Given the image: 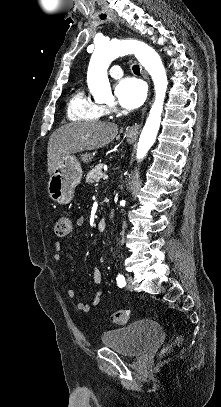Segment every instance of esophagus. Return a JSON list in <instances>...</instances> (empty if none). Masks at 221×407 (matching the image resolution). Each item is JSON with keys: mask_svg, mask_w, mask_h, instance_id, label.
Masks as SVG:
<instances>
[{"mask_svg": "<svg viewBox=\"0 0 221 407\" xmlns=\"http://www.w3.org/2000/svg\"><path fill=\"white\" fill-rule=\"evenodd\" d=\"M108 15L110 16L111 20L115 23H117V18L116 16L112 13V12H108ZM143 75L146 79H148V75L146 73V71L143 70ZM150 95V92H149ZM145 111V109H144ZM141 128L140 124H134L132 125L128 130H127V136L129 137H134L139 133V130Z\"/></svg>", "mask_w": 221, "mask_h": 407, "instance_id": "esophagus-1", "label": "esophagus"}]
</instances>
